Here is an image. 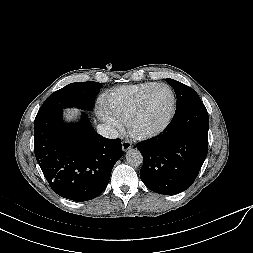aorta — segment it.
I'll return each instance as SVG.
<instances>
[{"mask_svg": "<svg viewBox=\"0 0 253 253\" xmlns=\"http://www.w3.org/2000/svg\"><path fill=\"white\" fill-rule=\"evenodd\" d=\"M126 161L131 166H139L143 163L142 153L138 149H129L126 153Z\"/></svg>", "mask_w": 253, "mask_h": 253, "instance_id": "1", "label": "aorta"}]
</instances>
